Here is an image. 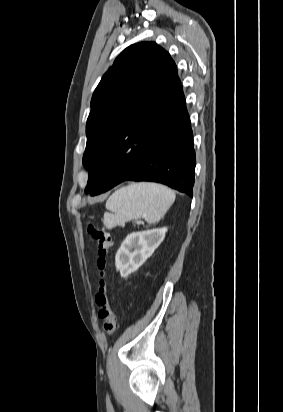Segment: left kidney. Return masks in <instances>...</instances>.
<instances>
[{
	"label": "left kidney",
	"mask_w": 283,
	"mask_h": 412,
	"mask_svg": "<svg viewBox=\"0 0 283 412\" xmlns=\"http://www.w3.org/2000/svg\"><path fill=\"white\" fill-rule=\"evenodd\" d=\"M167 228L133 232L129 234L115 256V266L122 277L138 270L152 256L165 237Z\"/></svg>",
	"instance_id": "5707ae66"
}]
</instances>
